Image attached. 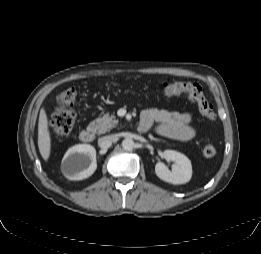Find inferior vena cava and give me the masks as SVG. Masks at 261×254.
<instances>
[{
  "label": "inferior vena cava",
  "mask_w": 261,
  "mask_h": 254,
  "mask_svg": "<svg viewBox=\"0 0 261 254\" xmlns=\"http://www.w3.org/2000/svg\"><path fill=\"white\" fill-rule=\"evenodd\" d=\"M115 138H116L115 135H108V136L101 137L98 139V145L102 149H108L112 145Z\"/></svg>",
  "instance_id": "602c4592"
}]
</instances>
